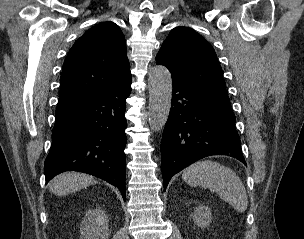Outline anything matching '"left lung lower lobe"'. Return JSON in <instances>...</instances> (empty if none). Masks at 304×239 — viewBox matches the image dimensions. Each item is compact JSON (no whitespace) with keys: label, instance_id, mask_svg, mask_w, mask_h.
Segmentation results:
<instances>
[{"label":"left lung lower lobe","instance_id":"obj_1","mask_svg":"<svg viewBox=\"0 0 304 239\" xmlns=\"http://www.w3.org/2000/svg\"><path fill=\"white\" fill-rule=\"evenodd\" d=\"M172 82V107L161 141L164 190L173 175L207 156L228 155L246 165L230 102Z\"/></svg>","mask_w":304,"mask_h":239}]
</instances>
